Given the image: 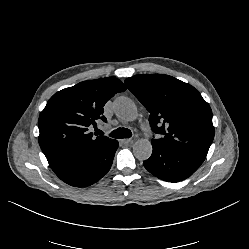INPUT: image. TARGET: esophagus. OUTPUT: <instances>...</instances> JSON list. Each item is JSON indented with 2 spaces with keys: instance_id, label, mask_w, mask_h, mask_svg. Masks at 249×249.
Instances as JSON below:
<instances>
[{
  "instance_id": "esophagus-1",
  "label": "esophagus",
  "mask_w": 249,
  "mask_h": 249,
  "mask_svg": "<svg viewBox=\"0 0 249 249\" xmlns=\"http://www.w3.org/2000/svg\"><path fill=\"white\" fill-rule=\"evenodd\" d=\"M131 142H132V139H122V140H121V143L124 144V145H125V144H129V143H131Z\"/></svg>"
}]
</instances>
